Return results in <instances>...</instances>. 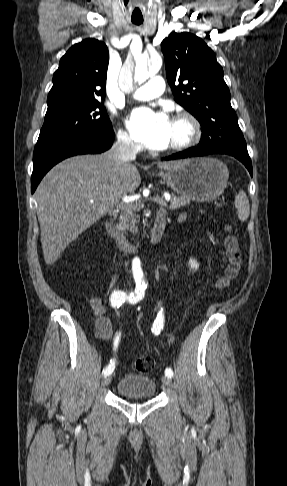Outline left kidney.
I'll list each match as a JSON object with an SVG mask.
<instances>
[{"mask_svg":"<svg viewBox=\"0 0 287 486\" xmlns=\"http://www.w3.org/2000/svg\"><path fill=\"white\" fill-rule=\"evenodd\" d=\"M188 265L190 266V270L196 271L199 268V263L195 260L190 258Z\"/></svg>","mask_w":287,"mask_h":486,"instance_id":"left-kidney-1","label":"left kidney"}]
</instances>
